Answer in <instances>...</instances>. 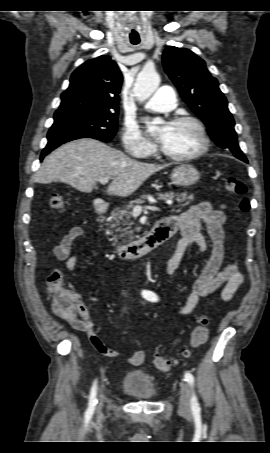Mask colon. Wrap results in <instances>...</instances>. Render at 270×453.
I'll return each mask as SVG.
<instances>
[{"instance_id": "1", "label": "colon", "mask_w": 270, "mask_h": 453, "mask_svg": "<svg viewBox=\"0 0 270 453\" xmlns=\"http://www.w3.org/2000/svg\"><path fill=\"white\" fill-rule=\"evenodd\" d=\"M225 189L237 195L239 200V210L245 214L250 209V202L245 197L247 187L245 183L238 178H228L225 181ZM50 207L54 210L62 211L65 209V200L60 195H53L49 200ZM47 291L51 297L52 310L65 317H72L78 313L79 300L75 295L64 288V273L58 268L49 271L46 278ZM210 318L203 314L198 318V324L191 333L189 348L185 350L184 355L188 356L192 349L203 345L209 335ZM173 361L164 356L155 358V367L161 371H168L173 367Z\"/></svg>"}]
</instances>
